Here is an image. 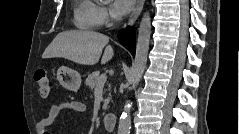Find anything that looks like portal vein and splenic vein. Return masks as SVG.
I'll use <instances>...</instances> for the list:
<instances>
[{
	"mask_svg": "<svg viewBox=\"0 0 239 134\" xmlns=\"http://www.w3.org/2000/svg\"><path fill=\"white\" fill-rule=\"evenodd\" d=\"M106 75L105 74H102L100 76V80H99V83L97 84V88H100V87H103V85L105 84L106 82Z\"/></svg>",
	"mask_w": 239,
	"mask_h": 134,
	"instance_id": "obj_1",
	"label": "portal vein and splenic vein"
}]
</instances>
